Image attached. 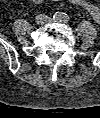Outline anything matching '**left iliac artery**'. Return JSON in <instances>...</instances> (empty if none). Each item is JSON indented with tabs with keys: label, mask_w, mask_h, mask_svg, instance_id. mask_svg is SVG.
<instances>
[{
	"label": "left iliac artery",
	"mask_w": 100,
	"mask_h": 118,
	"mask_svg": "<svg viewBox=\"0 0 100 118\" xmlns=\"http://www.w3.org/2000/svg\"><path fill=\"white\" fill-rule=\"evenodd\" d=\"M69 20H70V17L66 13H63L61 15V21L62 22L67 23Z\"/></svg>",
	"instance_id": "44dca946"
}]
</instances>
